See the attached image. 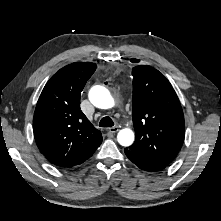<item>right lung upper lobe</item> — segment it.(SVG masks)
I'll return each mask as SVG.
<instances>
[{
  "mask_svg": "<svg viewBox=\"0 0 221 221\" xmlns=\"http://www.w3.org/2000/svg\"><path fill=\"white\" fill-rule=\"evenodd\" d=\"M96 70L91 62L69 64L45 85L36 105L33 130L39 150L54 165L70 168L89 159L102 134L80 110V94Z\"/></svg>",
  "mask_w": 221,
  "mask_h": 221,
  "instance_id": "1",
  "label": "right lung upper lobe"
}]
</instances>
